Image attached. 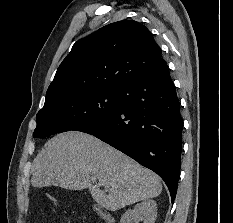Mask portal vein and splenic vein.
Instances as JSON below:
<instances>
[{
    "label": "portal vein and splenic vein",
    "mask_w": 233,
    "mask_h": 223,
    "mask_svg": "<svg viewBox=\"0 0 233 223\" xmlns=\"http://www.w3.org/2000/svg\"><path fill=\"white\" fill-rule=\"evenodd\" d=\"M90 179L93 181V183H96L97 181V177H95V175H91Z\"/></svg>",
    "instance_id": "portal-vein-and-splenic-vein-1"
}]
</instances>
